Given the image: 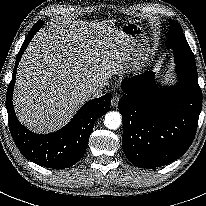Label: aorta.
<instances>
[{
  "mask_svg": "<svg viewBox=\"0 0 206 206\" xmlns=\"http://www.w3.org/2000/svg\"><path fill=\"white\" fill-rule=\"evenodd\" d=\"M121 115L119 112L110 111L105 115L104 124L108 129L115 130L121 125Z\"/></svg>",
  "mask_w": 206,
  "mask_h": 206,
  "instance_id": "762f6f07",
  "label": "aorta"
}]
</instances>
